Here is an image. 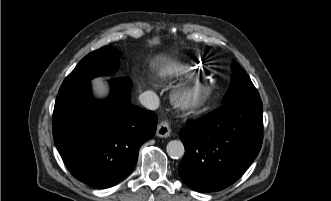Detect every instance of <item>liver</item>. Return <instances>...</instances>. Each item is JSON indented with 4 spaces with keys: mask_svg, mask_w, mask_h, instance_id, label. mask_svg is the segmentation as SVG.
<instances>
[{
    "mask_svg": "<svg viewBox=\"0 0 331 201\" xmlns=\"http://www.w3.org/2000/svg\"><path fill=\"white\" fill-rule=\"evenodd\" d=\"M153 66L156 67L162 75L170 74L174 69V63L166 57L157 58V61L153 63ZM102 80V78H95L92 80L94 90L99 96H103L107 92L106 86Z\"/></svg>",
    "mask_w": 331,
    "mask_h": 201,
    "instance_id": "liver-1",
    "label": "liver"
}]
</instances>
